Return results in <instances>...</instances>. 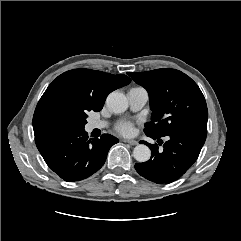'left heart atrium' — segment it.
Here are the masks:
<instances>
[{"label":"left heart atrium","instance_id":"1","mask_svg":"<svg viewBox=\"0 0 241 241\" xmlns=\"http://www.w3.org/2000/svg\"><path fill=\"white\" fill-rule=\"evenodd\" d=\"M116 130L122 135L129 136L133 133L134 126L132 122L123 121L117 125Z\"/></svg>","mask_w":241,"mask_h":241}]
</instances>
